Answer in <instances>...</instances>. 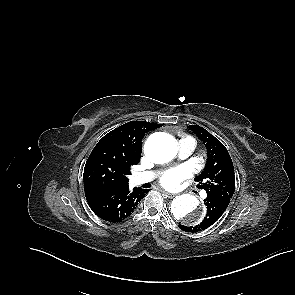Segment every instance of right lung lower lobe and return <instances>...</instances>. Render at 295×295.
I'll return each mask as SVG.
<instances>
[{"label":"right lung lower lobe","mask_w":295,"mask_h":295,"mask_svg":"<svg viewBox=\"0 0 295 295\" xmlns=\"http://www.w3.org/2000/svg\"><path fill=\"white\" fill-rule=\"evenodd\" d=\"M148 191L126 185L121 188L85 190L90 208L101 219L119 222L130 216Z\"/></svg>","instance_id":"98d812e1"}]
</instances>
